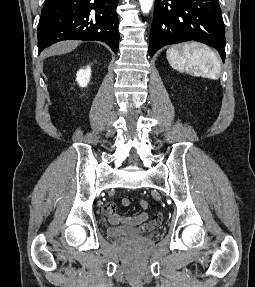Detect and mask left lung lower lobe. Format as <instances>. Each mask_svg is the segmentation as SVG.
<instances>
[{"instance_id":"obj_1","label":"left lung lower lobe","mask_w":255,"mask_h":287,"mask_svg":"<svg viewBox=\"0 0 255 287\" xmlns=\"http://www.w3.org/2000/svg\"><path fill=\"white\" fill-rule=\"evenodd\" d=\"M189 40L214 47L225 61V26L218 1L155 0L150 56L165 45Z\"/></svg>"}]
</instances>
